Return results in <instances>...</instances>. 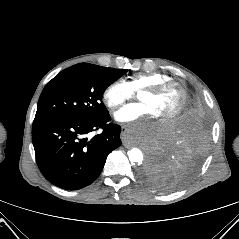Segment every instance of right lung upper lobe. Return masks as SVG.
<instances>
[{
    "mask_svg": "<svg viewBox=\"0 0 239 239\" xmlns=\"http://www.w3.org/2000/svg\"><path fill=\"white\" fill-rule=\"evenodd\" d=\"M83 64H87V65H89V66H91V67H100V66L93 65V64H88V63H83Z\"/></svg>",
    "mask_w": 239,
    "mask_h": 239,
    "instance_id": "right-lung-upper-lobe-1",
    "label": "right lung upper lobe"
}]
</instances>
